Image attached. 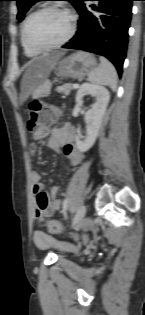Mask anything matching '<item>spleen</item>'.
<instances>
[{
    "mask_svg": "<svg viewBox=\"0 0 145 315\" xmlns=\"http://www.w3.org/2000/svg\"><path fill=\"white\" fill-rule=\"evenodd\" d=\"M88 81L96 85L117 89L118 76L113 64L104 57H100V65L88 75Z\"/></svg>",
    "mask_w": 145,
    "mask_h": 315,
    "instance_id": "spleen-1",
    "label": "spleen"
}]
</instances>
